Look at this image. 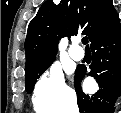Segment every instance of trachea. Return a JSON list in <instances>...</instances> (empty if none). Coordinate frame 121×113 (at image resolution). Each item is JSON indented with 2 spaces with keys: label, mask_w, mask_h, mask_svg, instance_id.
Instances as JSON below:
<instances>
[{
  "label": "trachea",
  "mask_w": 121,
  "mask_h": 113,
  "mask_svg": "<svg viewBox=\"0 0 121 113\" xmlns=\"http://www.w3.org/2000/svg\"><path fill=\"white\" fill-rule=\"evenodd\" d=\"M82 43L84 45H86V49H89V46L87 45V43H88V38L87 37L82 38Z\"/></svg>",
  "instance_id": "3493384b"
}]
</instances>
